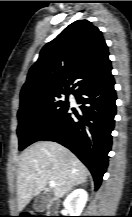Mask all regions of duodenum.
<instances>
[{"label":"duodenum","mask_w":132,"mask_h":217,"mask_svg":"<svg viewBox=\"0 0 132 217\" xmlns=\"http://www.w3.org/2000/svg\"><path fill=\"white\" fill-rule=\"evenodd\" d=\"M54 212H55V209L52 208V209L50 210V213H54Z\"/></svg>","instance_id":"1"}]
</instances>
